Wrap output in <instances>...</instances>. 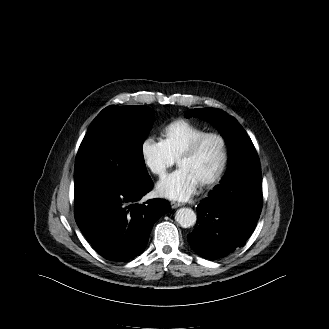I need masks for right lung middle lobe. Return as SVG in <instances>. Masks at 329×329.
<instances>
[{
    "instance_id": "obj_1",
    "label": "right lung middle lobe",
    "mask_w": 329,
    "mask_h": 329,
    "mask_svg": "<svg viewBox=\"0 0 329 329\" xmlns=\"http://www.w3.org/2000/svg\"><path fill=\"white\" fill-rule=\"evenodd\" d=\"M154 117L146 106L103 109L91 123L79 147L75 188L93 180H110L138 187L149 178L142 145Z\"/></svg>"
}]
</instances>
